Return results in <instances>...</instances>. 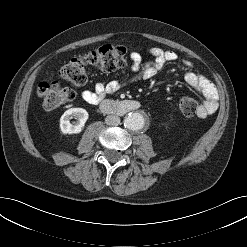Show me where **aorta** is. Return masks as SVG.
<instances>
[{
    "label": "aorta",
    "mask_w": 247,
    "mask_h": 247,
    "mask_svg": "<svg viewBox=\"0 0 247 247\" xmlns=\"http://www.w3.org/2000/svg\"><path fill=\"white\" fill-rule=\"evenodd\" d=\"M144 125H145L144 116L137 112L128 114L124 119V126L133 131L142 129Z\"/></svg>",
    "instance_id": "aorta-1"
}]
</instances>
